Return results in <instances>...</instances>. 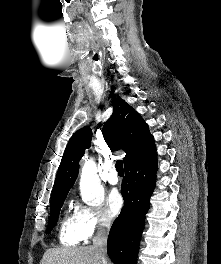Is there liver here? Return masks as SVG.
I'll use <instances>...</instances> for the list:
<instances>
[{"label": "liver", "mask_w": 221, "mask_h": 264, "mask_svg": "<svg viewBox=\"0 0 221 264\" xmlns=\"http://www.w3.org/2000/svg\"><path fill=\"white\" fill-rule=\"evenodd\" d=\"M40 264H99V261L93 246H87L48 249Z\"/></svg>", "instance_id": "1"}]
</instances>
